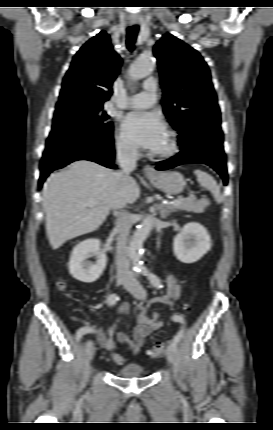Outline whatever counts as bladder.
<instances>
[{
	"mask_svg": "<svg viewBox=\"0 0 273 430\" xmlns=\"http://www.w3.org/2000/svg\"><path fill=\"white\" fill-rule=\"evenodd\" d=\"M144 374V368L138 363H130L118 370V375L123 378L141 377Z\"/></svg>",
	"mask_w": 273,
	"mask_h": 430,
	"instance_id": "obj_1",
	"label": "bladder"
}]
</instances>
